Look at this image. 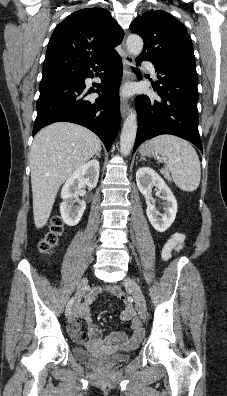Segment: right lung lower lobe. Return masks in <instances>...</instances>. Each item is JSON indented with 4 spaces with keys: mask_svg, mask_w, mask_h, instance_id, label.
<instances>
[{
    "mask_svg": "<svg viewBox=\"0 0 227 396\" xmlns=\"http://www.w3.org/2000/svg\"><path fill=\"white\" fill-rule=\"evenodd\" d=\"M90 68L104 71L100 75L102 83L93 91L99 94L96 101L85 99L92 92L85 89V79L93 77ZM122 75V61L117 52L86 66L43 73L33 135L49 124L72 122L93 131L109 151L120 124Z\"/></svg>",
    "mask_w": 227,
    "mask_h": 396,
    "instance_id": "1",
    "label": "right lung lower lobe"
}]
</instances>
